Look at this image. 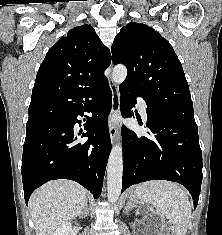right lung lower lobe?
<instances>
[{
  "instance_id": "right-lung-lower-lobe-1",
  "label": "right lung lower lobe",
  "mask_w": 222,
  "mask_h": 235,
  "mask_svg": "<svg viewBox=\"0 0 222 235\" xmlns=\"http://www.w3.org/2000/svg\"><path fill=\"white\" fill-rule=\"evenodd\" d=\"M46 96L53 94L44 91ZM51 123L26 133L22 155V180L26 204L32 192L47 181L70 179L98 198L111 151L107 116L112 92L107 78L66 98H55ZM92 113L79 133L77 116ZM88 137L86 141L79 138Z\"/></svg>"
}]
</instances>
